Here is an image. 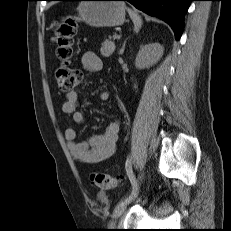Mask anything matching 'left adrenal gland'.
<instances>
[{
	"label": "left adrenal gland",
	"mask_w": 231,
	"mask_h": 231,
	"mask_svg": "<svg viewBox=\"0 0 231 231\" xmlns=\"http://www.w3.org/2000/svg\"><path fill=\"white\" fill-rule=\"evenodd\" d=\"M125 45H126V41H124V43H123V46H122L120 53H119L120 55H122L124 53Z\"/></svg>",
	"instance_id": "1"
}]
</instances>
